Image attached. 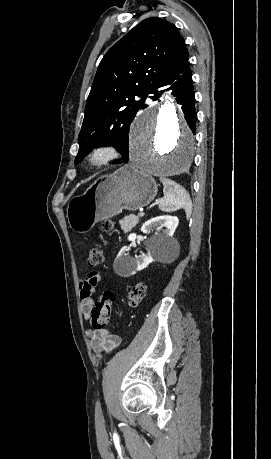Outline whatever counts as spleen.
Returning <instances> with one entry per match:
<instances>
[{
    "label": "spleen",
    "mask_w": 271,
    "mask_h": 459,
    "mask_svg": "<svg viewBox=\"0 0 271 459\" xmlns=\"http://www.w3.org/2000/svg\"><path fill=\"white\" fill-rule=\"evenodd\" d=\"M160 182L164 186V198L159 204V210H162V212H174V210L184 208L188 220L192 214V202L191 200H185L180 194L179 188L181 186L176 182H172V180H168V178H160Z\"/></svg>",
    "instance_id": "3e777b00"
}]
</instances>
